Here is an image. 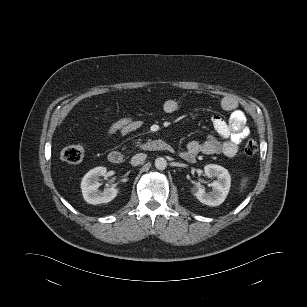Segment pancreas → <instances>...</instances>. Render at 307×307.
Segmentation results:
<instances>
[{
    "label": "pancreas",
    "instance_id": "obj_1",
    "mask_svg": "<svg viewBox=\"0 0 307 307\" xmlns=\"http://www.w3.org/2000/svg\"><path fill=\"white\" fill-rule=\"evenodd\" d=\"M139 141H140V140L136 141L135 144L139 145Z\"/></svg>",
    "mask_w": 307,
    "mask_h": 307
}]
</instances>
